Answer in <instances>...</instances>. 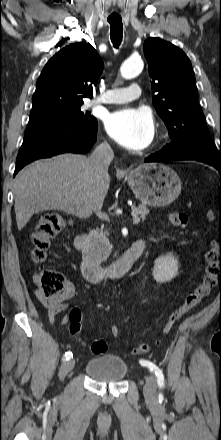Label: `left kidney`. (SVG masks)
<instances>
[{
    "instance_id": "5707ae66",
    "label": "left kidney",
    "mask_w": 221,
    "mask_h": 440,
    "mask_svg": "<svg viewBox=\"0 0 221 440\" xmlns=\"http://www.w3.org/2000/svg\"><path fill=\"white\" fill-rule=\"evenodd\" d=\"M178 274V259L173 254L162 255L155 260L152 275L157 283L172 280Z\"/></svg>"
}]
</instances>
